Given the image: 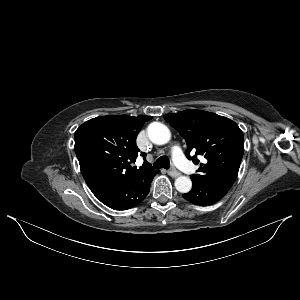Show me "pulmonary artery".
<instances>
[{"label": "pulmonary artery", "mask_w": 300, "mask_h": 300, "mask_svg": "<svg viewBox=\"0 0 300 300\" xmlns=\"http://www.w3.org/2000/svg\"><path fill=\"white\" fill-rule=\"evenodd\" d=\"M170 153L174 162L180 169L190 174L196 171L195 165L183 155L179 147H172Z\"/></svg>", "instance_id": "e3ab8cb5"}]
</instances>
